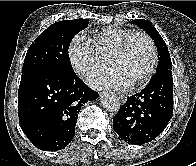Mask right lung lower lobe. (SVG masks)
Masks as SVG:
<instances>
[{
    "mask_svg": "<svg viewBox=\"0 0 196 166\" xmlns=\"http://www.w3.org/2000/svg\"><path fill=\"white\" fill-rule=\"evenodd\" d=\"M98 93L74 73L34 70L22 74L18 90V115L22 131L34 146L56 151L75 135L79 111Z\"/></svg>",
    "mask_w": 196,
    "mask_h": 166,
    "instance_id": "obj_1",
    "label": "right lung lower lobe"
}]
</instances>
